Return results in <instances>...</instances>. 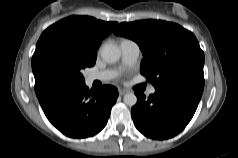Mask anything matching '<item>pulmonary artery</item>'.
Masks as SVG:
<instances>
[{
  "label": "pulmonary artery",
  "instance_id": "e3ab8cb5",
  "mask_svg": "<svg viewBox=\"0 0 238 158\" xmlns=\"http://www.w3.org/2000/svg\"><path fill=\"white\" fill-rule=\"evenodd\" d=\"M120 50L122 56V63L124 66L133 65L139 56V47L136 42L130 39H123L120 42ZM117 71L115 70H106L98 73L90 74L87 78L89 83L94 81H108L115 78ZM155 88L152 86L148 89V94H154Z\"/></svg>",
  "mask_w": 238,
  "mask_h": 158
}]
</instances>
